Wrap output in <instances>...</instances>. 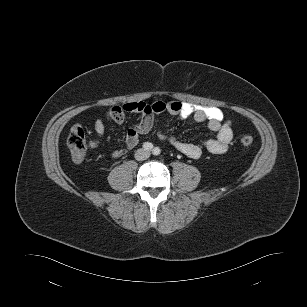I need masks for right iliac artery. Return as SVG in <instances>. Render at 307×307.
<instances>
[{
  "label": "right iliac artery",
  "instance_id": "1",
  "mask_svg": "<svg viewBox=\"0 0 307 307\" xmlns=\"http://www.w3.org/2000/svg\"><path fill=\"white\" fill-rule=\"evenodd\" d=\"M143 148H144V150L151 151L153 149V144L150 143V142H145L143 144Z\"/></svg>",
  "mask_w": 307,
  "mask_h": 307
}]
</instances>
